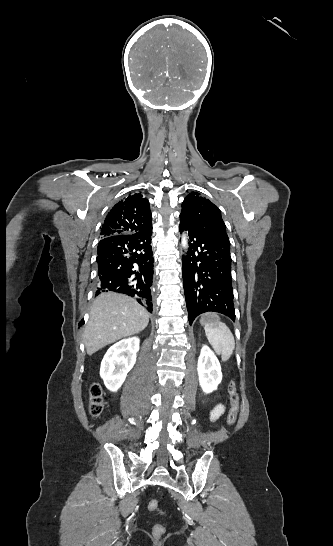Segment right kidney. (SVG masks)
<instances>
[{"label":"right kidney","mask_w":333,"mask_h":546,"mask_svg":"<svg viewBox=\"0 0 333 546\" xmlns=\"http://www.w3.org/2000/svg\"><path fill=\"white\" fill-rule=\"evenodd\" d=\"M139 343L138 337L121 340L104 355L100 376L109 391L116 392L125 381L136 362Z\"/></svg>","instance_id":"ca27d5eb"}]
</instances>
